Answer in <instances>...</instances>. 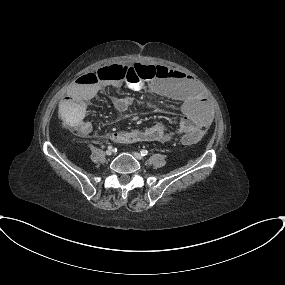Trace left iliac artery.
Segmentation results:
<instances>
[{
	"mask_svg": "<svg viewBox=\"0 0 285 285\" xmlns=\"http://www.w3.org/2000/svg\"><path fill=\"white\" fill-rule=\"evenodd\" d=\"M140 154H141L142 156H146V155H148V151H147V150H141V151H140Z\"/></svg>",
	"mask_w": 285,
	"mask_h": 285,
	"instance_id": "obj_1",
	"label": "left iliac artery"
}]
</instances>
